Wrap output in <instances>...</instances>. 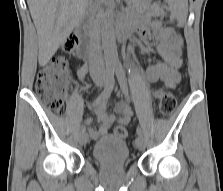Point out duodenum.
Wrapping results in <instances>:
<instances>
[{"instance_id":"duodenum-1","label":"duodenum","mask_w":223,"mask_h":191,"mask_svg":"<svg viewBox=\"0 0 223 191\" xmlns=\"http://www.w3.org/2000/svg\"><path fill=\"white\" fill-rule=\"evenodd\" d=\"M116 30H117V35H118V38L120 41L125 40L130 33L128 28H126L123 24H118L116 27ZM86 35L91 38L92 35H91L90 30L86 31ZM79 53H80V57H82L84 59H88L91 56L92 48L89 45H84L81 48Z\"/></svg>"}]
</instances>
